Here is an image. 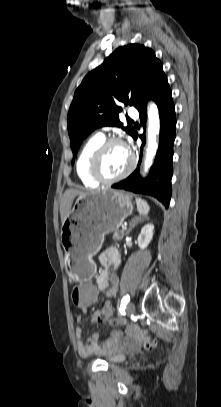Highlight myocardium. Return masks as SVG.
Returning <instances> with one entry per match:
<instances>
[{"label":"myocardium","mask_w":221,"mask_h":407,"mask_svg":"<svg viewBox=\"0 0 221 407\" xmlns=\"http://www.w3.org/2000/svg\"><path fill=\"white\" fill-rule=\"evenodd\" d=\"M113 144H121L127 148L130 155V163L123 173L118 176L108 178L101 173L100 163L105 151ZM135 165V156L125 144V142L120 138L111 137L104 139V141L95 149L92 156L90 157L88 170L90 176L99 184H113L127 178L133 172Z\"/></svg>","instance_id":"f54148a6"}]
</instances>
